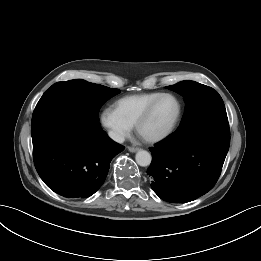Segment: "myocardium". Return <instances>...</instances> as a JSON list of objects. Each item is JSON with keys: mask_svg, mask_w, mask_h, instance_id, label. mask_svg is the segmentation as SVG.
Segmentation results:
<instances>
[{"mask_svg": "<svg viewBox=\"0 0 261 261\" xmlns=\"http://www.w3.org/2000/svg\"><path fill=\"white\" fill-rule=\"evenodd\" d=\"M165 97H170L172 98L175 102H176V105H177V111H176V114L173 118V120L171 121V123L169 124V126L163 130L162 132H160L159 134L157 135H154V136H151V137H143L141 134H140V130H141V127L143 126V124L149 119V117L151 116L155 106L158 104V102L162 99V98H165ZM181 111H182V107H181V103L179 101V99L171 94V93H161L159 96H157L154 100H152L149 105L145 108V110L141 113V115L138 117L136 123H135V130H136V133L138 135H140L142 137V139L148 143H157V142H160L164 139H166L169 135L172 134V132L175 130L178 122H179V119L181 117Z\"/></svg>", "mask_w": 261, "mask_h": 261, "instance_id": "f54148a6", "label": "myocardium"}]
</instances>
